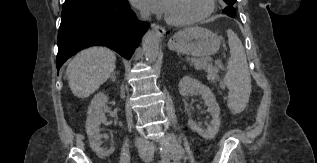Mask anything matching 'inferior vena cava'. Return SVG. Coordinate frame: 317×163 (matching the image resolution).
<instances>
[{
  "label": "inferior vena cava",
  "mask_w": 317,
  "mask_h": 163,
  "mask_svg": "<svg viewBox=\"0 0 317 163\" xmlns=\"http://www.w3.org/2000/svg\"><path fill=\"white\" fill-rule=\"evenodd\" d=\"M142 19H147L148 15L143 14ZM136 146L138 148L139 155L142 159H150L154 155V148L153 146L149 143V141L143 139V138H138L136 140Z\"/></svg>",
  "instance_id": "602c4592"
}]
</instances>
